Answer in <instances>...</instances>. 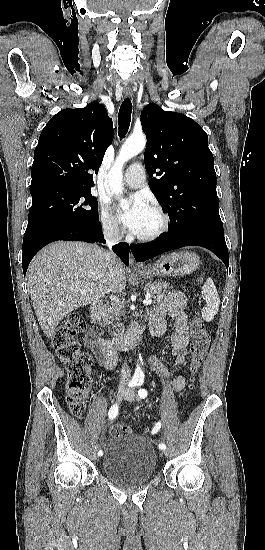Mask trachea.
<instances>
[{
	"mask_svg": "<svg viewBox=\"0 0 265 550\" xmlns=\"http://www.w3.org/2000/svg\"><path fill=\"white\" fill-rule=\"evenodd\" d=\"M132 103L129 98H126L119 109V137L124 138L131 122Z\"/></svg>",
	"mask_w": 265,
	"mask_h": 550,
	"instance_id": "trachea-1",
	"label": "trachea"
}]
</instances>
